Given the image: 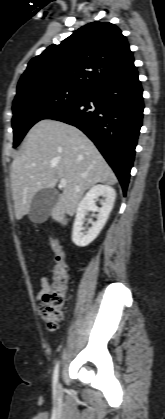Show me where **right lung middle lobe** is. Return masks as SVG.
Wrapping results in <instances>:
<instances>
[{"label":"right lung middle lobe","mask_w":165,"mask_h":419,"mask_svg":"<svg viewBox=\"0 0 165 419\" xmlns=\"http://www.w3.org/2000/svg\"><path fill=\"white\" fill-rule=\"evenodd\" d=\"M86 91L57 87L35 92L13 101V147H17L27 131L48 114L81 100Z\"/></svg>","instance_id":"dd1d6c3e"}]
</instances>
